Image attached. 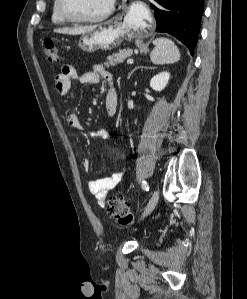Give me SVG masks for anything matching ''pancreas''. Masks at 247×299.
<instances>
[{
	"label": "pancreas",
	"mask_w": 247,
	"mask_h": 299,
	"mask_svg": "<svg viewBox=\"0 0 247 299\" xmlns=\"http://www.w3.org/2000/svg\"><path fill=\"white\" fill-rule=\"evenodd\" d=\"M131 55V51L128 50H121L118 53H114L113 55L109 56L107 61L104 63L106 67L114 66L119 63L124 62V60Z\"/></svg>",
	"instance_id": "cf45deb5"
}]
</instances>
